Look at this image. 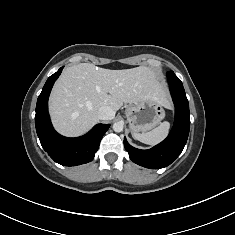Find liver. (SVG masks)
<instances>
[{
	"label": "liver",
	"mask_w": 235,
	"mask_h": 235,
	"mask_svg": "<svg viewBox=\"0 0 235 235\" xmlns=\"http://www.w3.org/2000/svg\"><path fill=\"white\" fill-rule=\"evenodd\" d=\"M152 98L170 107L163 84L148 67L110 70L81 63L66 68L55 83L49 111L55 129L62 135L84 134L99 122L98 110Z\"/></svg>",
	"instance_id": "1"
}]
</instances>
